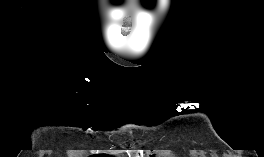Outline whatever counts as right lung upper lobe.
Returning <instances> with one entry per match:
<instances>
[{
    "label": "right lung upper lobe",
    "instance_id": "cb5924a9",
    "mask_svg": "<svg viewBox=\"0 0 264 157\" xmlns=\"http://www.w3.org/2000/svg\"><path fill=\"white\" fill-rule=\"evenodd\" d=\"M99 157H111V156H108V155H97Z\"/></svg>",
    "mask_w": 264,
    "mask_h": 157
}]
</instances>
